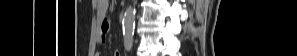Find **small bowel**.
<instances>
[{
    "mask_svg": "<svg viewBox=\"0 0 297 56\" xmlns=\"http://www.w3.org/2000/svg\"><path fill=\"white\" fill-rule=\"evenodd\" d=\"M98 16L100 18V33H99V42L104 43L107 38V33L109 30V21L107 20V12L109 9V2L106 0H99L97 4ZM115 56H120L119 52L115 53Z\"/></svg>",
    "mask_w": 297,
    "mask_h": 56,
    "instance_id": "obj_1",
    "label": "small bowel"
}]
</instances>
